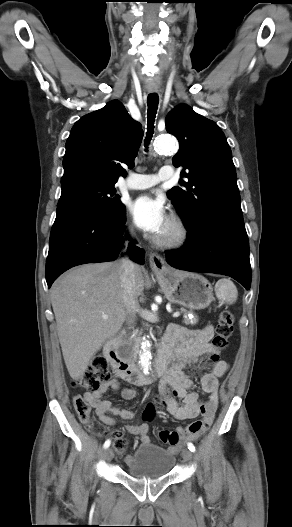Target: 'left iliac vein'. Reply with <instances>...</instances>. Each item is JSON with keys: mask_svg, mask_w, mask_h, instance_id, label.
Instances as JSON below:
<instances>
[{"mask_svg": "<svg viewBox=\"0 0 292 527\" xmlns=\"http://www.w3.org/2000/svg\"><path fill=\"white\" fill-rule=\"evenodd\" d=\"M182 457L185 461H190L192 459V452L189 449H183Z\"/></svg>", "mask_w": 292, "mask_h": 527, "instance_id": "4c4485c4", "label": "left iliac vein"}]
</instances>
